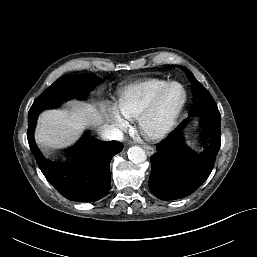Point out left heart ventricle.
Masks as SVG:
<instances>
[{"instance_id":"left-heart-ventricle-1","label":"left heart ventricle","mask_w":257,"mask_h":257,"mask_svg":"<svg viewBox=\"0 0 257 257\" xmlns=\"http://www.w3.org/2000/svg\"><path fill=\"white\" fill-rule=\"evenodd\" d=\"M182 90L178 86H171L168 88L162 96L157 114L153 118L151 125L155 126L159 124L163 118L175 109L182 100Z\"/></svg>"}]
</instances>
